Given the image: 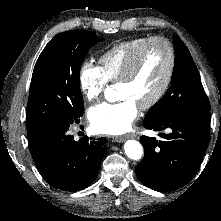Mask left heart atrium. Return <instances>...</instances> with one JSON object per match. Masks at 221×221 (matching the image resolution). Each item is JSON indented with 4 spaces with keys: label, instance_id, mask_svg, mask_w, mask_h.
Returning <instances> with one entry per match:
<instances>
[{
    "label": "left heart atrium",
    "instance_id": "1",
    "mask_svg": "<svg viewBox=\"0 0 221 221\" xmlns=\"http://www.w3.org/2000/svg\"><path fill=\"white\" fill-rule=\"evenodd\" d=\"M139 113V106L131 98L116 103H101L88 112L93 129L102 134L118 135L128 131Z\"/></svg>",
    "mask_w": 221,
    "mask_h": 221
}]
</instances>
